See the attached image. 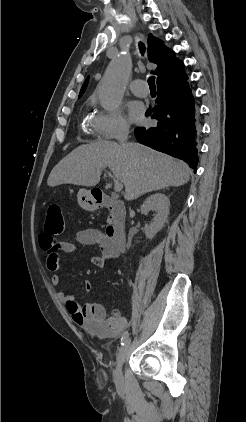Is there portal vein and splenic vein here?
Returning a JSON list of instances; mask_svg holds the SVG:
<instances>
[{
	"instance_id": "18ae733b",
	"label": "portal vein and splenic vein",
	"mask_w": 246,
	"mask_h": 422,
	"mask_svg": "<svg viewBox=\"0 0 246 422\" xmlns=\"http://www.w3.org/2000/svg\"><path fill=\"white\" fill-rule=\"evenodd\" d=\"M108 175L114 179V183H115V185H114V190H115V192H120V191H122V189H123V184H122L121 182H119L118 180H116V179L113 177V175H112V174L108 173Z\"/></svg>"
}]
</instances>
